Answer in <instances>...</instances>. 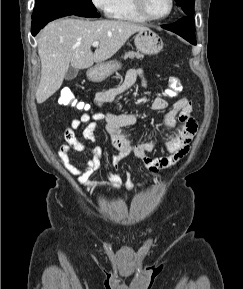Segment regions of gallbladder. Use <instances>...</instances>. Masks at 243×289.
<instances>
[{
	"label": "gallbladder",
	"mask_w": 243,
	"mask_h": 289,
	"mask_svg": "<svg viewBox=\"0 0 243 289\" xmlns=\"http://www.w3.org/2000/svg\"><path fill=\"white\" fill-rule=\"evenodd\" d=\"M78 74V69H76L75 67L70 66L66 75H65V79L70 81L73 80L77 77Z\"/></svg>",
	"instance_id": "obj_1"
}]
</instances>
